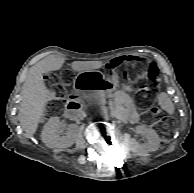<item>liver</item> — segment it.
<instances>
[{
    "label": "liver",
    "mask_w": 194,
    "mask_h": 193,
    "mask_svg": "<svg viewBox=\"0 0 194 193\" xmlns=\"http://www.w3.org/2000/svg\"><path fill=\"white\" fill-rule=\"evenodd\" d=\"M64 62L65 59L62 57L49 56L37 62L28 71L18 113L21 127L28 138L35 134L50 99L43 74L61 69ZM102 66L104 63L101 61H74L71 63L74 71L99 69Z\"/></svg>",
    "instance_id": "liver-1"
}]
</instances>
